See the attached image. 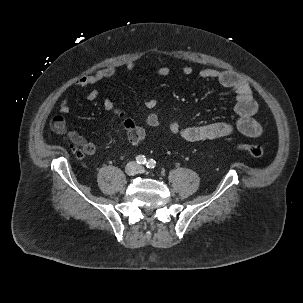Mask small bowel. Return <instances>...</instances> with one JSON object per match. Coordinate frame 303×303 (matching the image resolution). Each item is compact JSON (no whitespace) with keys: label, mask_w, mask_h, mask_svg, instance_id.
<instances>
[{"label":"small bowel","mask_w":303,"mask_h":303,"mask_svg":"<svg viewBox=\"0 0 303 303\" xmlns=\"http://www.w3.org/2000/svg\"><path fill=\"white\" fill-rule=\"evenodd\" d=\"M137 67L134 61L126 63L125 68L129 72H133ZM115 67L108 66L99 69L93 74L80 77L76 80L75 85L78 88L85 89L93 87L87 94V99L90 101L98 97V84L103 80L110 79L115 75ZM182 74L189 76L193 73L190 66L182 68ZM170 73L168 66H162L157 71L158 76H167ZM199 77L205 80H215L221 86L232 90L235 94V112L237 119L233 123L228 122H213L207 124H197L190 126H182L178 121H172L169 129L172 134L181 137L189 142H198L212 140L231 135L233 132H238L247 137H257L262 132V127L254 118L257 113L258 106L253 98L251 87L247 82L242 80L233 72L220 71L217 69H204L199 72ZM157 101L153 97H149L145 101V106L148 109L155 108ZM107 112L118 118L126 132L129 142L132 145L141 143L145 136V127L156 128L161 124L159 116L155 113H149L143 117L142 125L138 124L126 112L117 108L113 101L106 99L103 103ZM60 115L52 119L51 126L53 130L59 134H64L76 146L81 147L87 155H93L96 152V146L89 142L84 136L75 130H69L66 125L64 115L70 112V98L66 96L59 106Z\"/></svg>","instance_id":"small-bowel-1"}]
</instances>
